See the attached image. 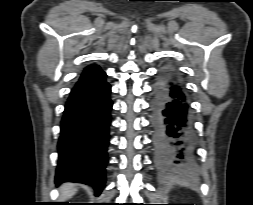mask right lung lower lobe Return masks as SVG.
Listing matches in <instances>:
<instances>
[{
  "label": "right lung lower lobe",
  "instance_id": "1",
  "mask_svg": "<svg viewBox=\"0 0 253 205\" xmlns=\"http://www.w3.org/2000/svg\"><path fill=\"white\" fill-rule=\"evenodd\" d=\"M97 65L82 72L66 102L58 142L56 183L93 186L98 196L105 187V167L111 124V86Z\"/></svg>",
  "mask_w": 253,
  "mask_h": 205
}]
</instances>
